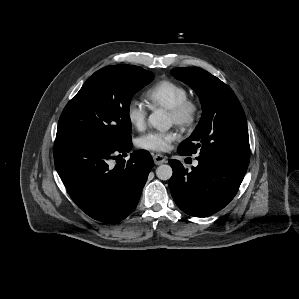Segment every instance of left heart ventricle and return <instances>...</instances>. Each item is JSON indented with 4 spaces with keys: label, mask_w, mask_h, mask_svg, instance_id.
Here are the masks:
<instances>
[{
    "label": "left heart ventricle",
    "mask_w": 299,
    "mask_h": 299,
    "mask_svg": "<svg viewBox=\"0 0 299 299\" xmlns=\"http://www.w3.org/2000/svg\"><path fill=\"white\" fill-rule=\"evenodd\" d=\"M169 121H170L171 123H173V119H172V117H171L170 114H169Z\"/></svg>",
    "instance_id": "1"
}]
</instances>
